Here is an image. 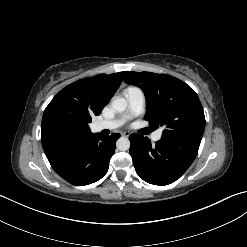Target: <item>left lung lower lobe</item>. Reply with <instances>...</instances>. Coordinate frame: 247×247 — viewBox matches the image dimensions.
Wrapping results in <instances>:
<instances>
[{
    "mask_svg": "<svg viewBox=\"0 0 247 247\" xmlns=\"http://www.w3.org/2000/svg\"><path fill=\"white\" fill-rule=\"evenodd\" d=\"M129 139V152L136 173L145 182L154 185H168L176 181L197 155V152L163 138L154 145L139 134H131Z\"/></svg>",
    "mask_w": 247,
    "mask_h": 247,
    "instance_id": "obj_1",
    "label": "left lung lower lobe"
}]
</instances>
